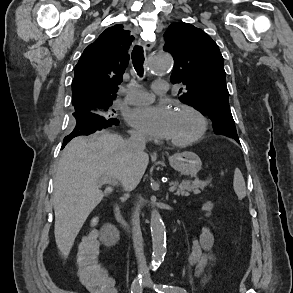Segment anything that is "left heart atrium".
I'll return each mask as SVG.
<instances>
[{"mask_svg": "<svg viewBox=\"0 0 293 293\" xmlns=\"http://www.w3.org/2000/svg\"><path fill=\"white\" fill-rule=\"evenodd\" d=\"M173 112L166 105H149L129 109L126 119L130 125L154 138H167Z\"/></svg>", "mask_w": 293, "mask_h": 293, "instance_id": "1", "label": "left heart atrium"}]
</instances>
